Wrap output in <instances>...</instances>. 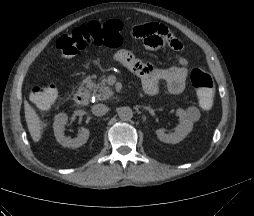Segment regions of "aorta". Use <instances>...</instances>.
I'll list each match as a JSON object with an SVG mask.
<instances>
[{"label": "aorta", "instance_id": "aorta-1", "mask_svg": "<svg viewBox=\"0 0 254 216\" xmlns=\"http://www.w3.org/2000/svg\"><path fill=\"white\" fill-rule=\"evenodd\" d=\"M118 116L122 121H130L133 117V111L130 107H121L118 110Z\"/></svg>", "mask_w": 254, "mask_h": 216}]
</instances>
